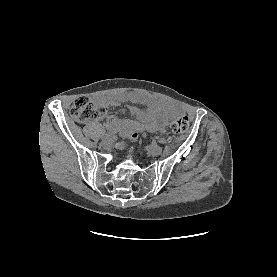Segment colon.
<instances>
[{"label": "colon", "instance_id": "colon-1", "mask_svg": "<svg viewBox=\"0 0 277 277\" xmlns=\"http://www.w3.org/2000/svg\"><path fill=\"white\" fill-rule=\"evenodd\" d=\"M105 114V106L95 104L86 97L77 98L70 108V115L80 122L97 120ZM189 123V118L186 115H180L172 120L170 129L175 134H181L187 131Z\"/></svg>", "mask_w": 277, "mask_h": 277}]
</instances>
